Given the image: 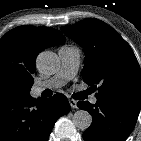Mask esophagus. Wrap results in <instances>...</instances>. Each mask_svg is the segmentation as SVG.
<instances>
[{
  "mask_svg": "<svg viewBox=\"0 0 141 141\" xmlns=\"http://www.w3.org/2000/svg\"><path fill=\"white\" fill-rule=\"evenodd\" d=\"M69 104L71 108H77V101H75L74 99H69Z\"/></svg>",
  "mask_w": 141,
  "mask_h": 141,
  "instance_id": "esophagus-1",
  "label": "esophagus"
}]
</instances>
